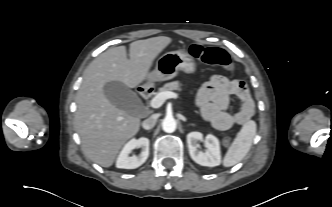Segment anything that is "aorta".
<instances>
[{
	"label": "aorta",
	"mask_w": 332,
	"mask_h": 207,
	"mask_svg": "<svg viewBox=\"0 0 332 207\" xmlns=\"http://www.w3.org/2000/svg\"><path fill=\"white\" fill-rule=\"evenodd\" d=\"M177 122L173 117L167 116L162 121V129L167 133H172L176 130Z\"/></svg>",
	"instance_id": "aorta-1"
}]
</instances>
